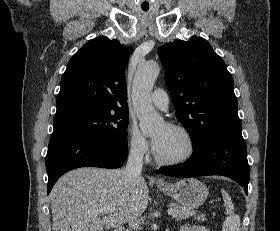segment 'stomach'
Returning a JSON list of instances; mask_svg holds the SVG:
<instances>
[{
  "label": "stomach",
  "mask_w": 280,
  "mask_h": 231,
  "mask_svg": "<svg viewBox=\"0 0 280 231\" xmlns=\"http://www.w3.org/2000/svg\"><path fill=\"white\" fill-rule=\"evenodd\" d=\"M161 191H165L171 195L177 203H182L185 207H199L204 203L208 197V187L201 183L199 179H179L176 183H169V185H160Z\"/></svg>",
  "instance_id": "1"
}]
</instances>
